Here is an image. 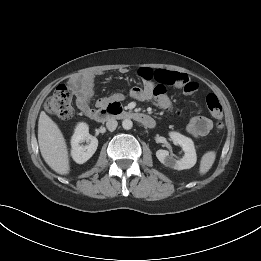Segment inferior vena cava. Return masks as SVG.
Wrapping results in <instances>:
<instances>
[{
  "label": "inferior vena cava",
  "mask_w": 261,
  "mask_h": 261,
  "mask_svg": "<svg viewBox=\"0 0 261 261\" xmlns=\"http://www.w3.org/2000/svg\"><path fill=\"white\" fill-rule=\"evenodd\" d=\"M118 125V122L115 120V119H109L107 122H106V127L109 131H114L116 129Z\"/></svg>",
  "instance_id": "obj_1"
}]
</instances>
